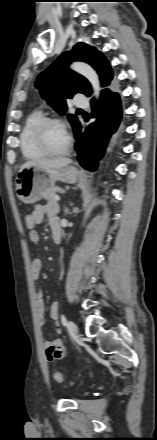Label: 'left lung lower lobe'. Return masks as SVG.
<instances>
[{
	"label": "left lung lower lobe",
	"instance_id": "0a47b994",
	"mask_svg": "<svg viewBox=\"0 0 157 440\" xmlns=\"http://www.w3.org/2000/svg\"><path fill=\"white\" fill-rule=\"evenodd\" d=\"M91 105L95 121L85 129L79 124L73 131L76 159L84 169L95 171L111 136L119 127L122 106L119 94L110 90L102 93L98 101L93 99Z\"/></svg>",
	"mask_w": 157,
	"mask_h": 440
}]
</instances>
